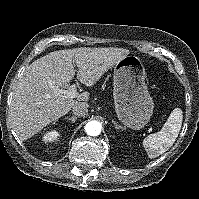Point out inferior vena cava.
<instances>
[{"label":"inferior vena cava","instance_id":"1","mask_svg":"<svg viewBox=\"0 0 199 199\" xmlns=\"http://www.w3.org/2000/svg\"><path fill=\"white\" fill-rule=\"evenodd\" d=\"M72 111L76 116H86L88 114V109L83 103L74 105Z\"/></svg>","mask_w":199,"mask_h":199}]
</instances>
